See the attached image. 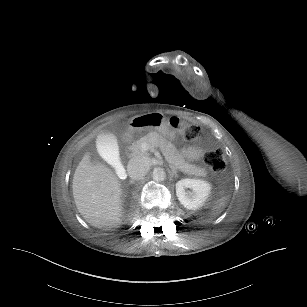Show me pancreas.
<instances>
[{"instance_id": "1", "label": "pancreas", "mask_w": 307, "mask_h": 307, "mask_svg": "<svg viewBox=\"0 0 307 307\" xmlns=\"http://www.w3.org/2000/svg\"><path fill=\"white\" fill-rule=\"evenodd\" d=\"M144 143H151L158 145V147L163 148V154L166 160L171 163L174 169H179L180 171H185L188 175L202 176L205 173V168L202 165L188 164L182 156L178 153L177 149L170 144V142L165 141L159 135H146L133 144L132 153L134 156H143L144 153L140 151V148Z\"/></svg>"}]
</instances>
